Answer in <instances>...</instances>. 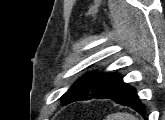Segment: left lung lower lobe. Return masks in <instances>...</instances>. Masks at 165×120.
Instances as JSON below:
<instances>
[{"mask_svg":"<svg viewBox=\"0 0 165 120\" xmlns=\"http://www.w3.org/2000/svg\"><path fill=\"white\" fill-rule=\"evenodd\" d=\"M106 98L111 99L118 104L131 107L143 117L145 116V106L139 101L136 90L126 83H123Z\"/></svg>","mask_w":165,"mask_h":120,"instance_id":"1","label":"left lung lower lobe"}]
</instances>
